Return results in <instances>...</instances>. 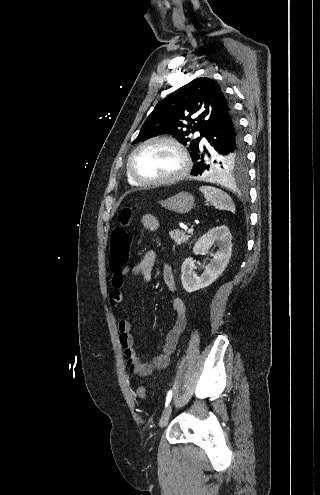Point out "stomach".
Returning a JSON list of instances; mask_svg holds the SVG:
<instances>
[{"label": "stomach", "instance_id": "0dacf381", "mask_svg": "<svg viewBox=\"0 0 320 495\" xmlns=\"http://www.w3.org/2000/svg\"><path fill=\"white\" fill-rule=\"evenodd\" d=\"M161 206L177 213H188L194 207V197L188 192H180L161 201Z\"/></svg>", "mask_w": 320, "mask_h": 495}]
</instances>
